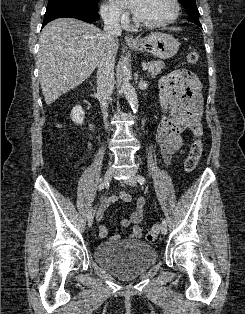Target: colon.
<instances>
[{
    "instance_id": "1",
    "label": "colon",
    "mask_w": 245,
    "mask_h": 314,
    "mask_svg": "<svg viewBox=\"0 0 245 314\" xmlns=\"http://www.w3.org/2000/svg\"><path fill=\"white\" fill-rule=\"evenodd\" d=\"M199 60H200V55L197 51L188 52V54H187L188 63L196 64L199 62ZM202 151H203L202 142L199 139H196L192 143V145L190 147L189 154H188L186 161H185V170L187 172H191L195 169V167L197 166V164L200 160V157L202 155ZM159 229H160L159 224H157V223L154 224L150 228V230L145 234V240L147 242H153L159 233Z\"/></svg>"
}]
</instances>
